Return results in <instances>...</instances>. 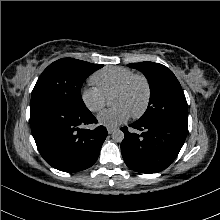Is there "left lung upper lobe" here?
Wrapping results in <instances>:
<instances>
[{"label": "left lung upper lobe", "mask_w": 220, "mask_h": 220, "mask_svg": "<svg viewBox=\"0 0 220 220\" xmlns=\"http://www.w3.org/2000/svg\"><path fill=\"white\" fill-rule=\"evenodd\" d=\"M128 66L141 71L150 86L147 110L137 122H169L187 131L188 105L173 72L162 64L149 61L131 63Z\"/></svg>", "instance_id": "1"}]
</instances>
